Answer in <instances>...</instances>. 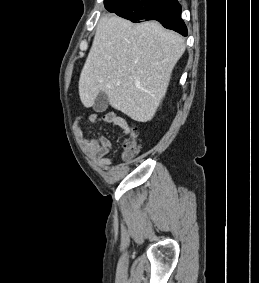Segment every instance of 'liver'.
<instances>
[{"instance_id":"6515ba94","label":"liver","mask_w":259,"mask_h":283,"mask_svg":"<svg viewBox=\"0 0 259 283\" xmlns=\"http://www.w3.org/2000/svg\"><path fill=\"white\" fill-rule=\"evenodd\" d=\"M184 51V39L155 21L134 25L116 15L101 17L80 74L82 104L92 107L104 92L134 121L152 120Z\"/></svg>"}]
</instances>
